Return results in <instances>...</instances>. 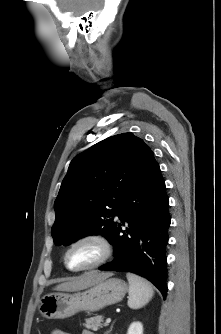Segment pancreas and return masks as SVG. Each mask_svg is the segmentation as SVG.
Returning <instances> with one entry per match:
<instances>
[{
    "mask_svg": "<svg viewBox=\"0 0 221 334\" xmlns=\"http://www.w3.org/2000/svg\"><path fill=\"white\" fill-rule=\"evenodd\" d=\"M83 326H85L87 329L97 331L103 326H107V324L103 323V316L97 315V316L85 319V324H83Z\"/></svg>",
    "mask_w": 221,
    "mask_h": 334,
    "instance_id": "cf45deb5",
    "label": "pancreas"
}]
</instances>
